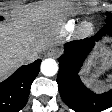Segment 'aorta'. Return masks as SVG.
<instances>
[{"mask_svg": "<svg viewBox=\"0 0 112 112\" xmlns=\"http://www.w3.org/2000/svg\"><path fill=\"white\" fill-rule=\"evenodd\" d=\"M40 69L43 75L54 76L58 72V64L54 59L48 58L42 61Z\"/></svg>", "mask_w": 112, "mask_h": 112, "instance_id": "obj_1", "label": "aorta"}]
</instances>
